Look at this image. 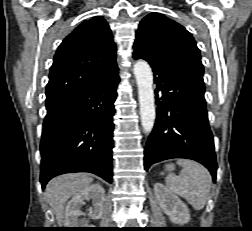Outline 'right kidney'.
Instances as JSON below:
<instances>
[{
	"mask_svg": "<svg viewBox=\"0 0 252 231\" xmlns=\"http://www.w3.org/2000/svg\"><path fill=\"white\" fill-rule=\"evenodd\" d=\"M85 200H92L89 217L97 220L102 217L105 202V191L99 184H93L78 192L67 203L64 224L67 228H87L88 221L79 219L81 207Z\"/></svg>",
	"mask_w": 252,
	"mask_h": 231,
	"instance_id": "obj_1",
	"label": "right kidney"
}]
</instances>
